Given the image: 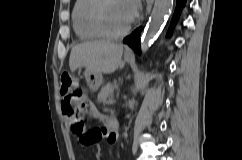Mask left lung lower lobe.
<instances>
[{"instance_id":"1","label":"left lung lower lobe","mask_w":242,"mask_h":160,"mask_svg":"<svg viewBox=\"0 0 242 160\" xmlns=\"http://www.w3.org/2000/svg\"><path fill=\"white\" fill-rule=\"evenodd\" d=\"M187 0H177L176 9L174 12V15L171 20L170 28L168 30V34L171 32L175 24L177 23L179 16L181 14V11L183 7L185 6ZM140 33H141V27L137 28L132 34L125 37L123 39V43L128 44L130 47H132L138 54H140Z\"/></svg>"}]
</instances>
